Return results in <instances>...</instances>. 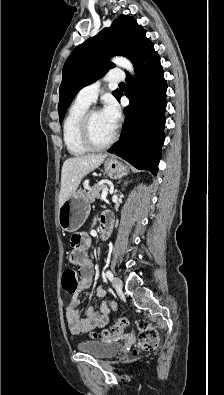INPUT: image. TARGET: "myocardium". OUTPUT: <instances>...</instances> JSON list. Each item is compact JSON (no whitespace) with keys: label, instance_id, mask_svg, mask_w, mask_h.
I'll list each match as a JSON object with an SVG mask.
<instances>
[{"label":"myocardium","instance_id":"myocardium-1","mask_svg":"<svg viewBox=\"0 0 224 395\" xmlns=\"http://www.w3.org/2000/svg\"><path fill=\"white\" fill-rule=\"evenodd\" d=\"M99 110L97 108H89L87 111L84 113L82 116L81 122H80V138L82 143L85 145V147L89 150L92 151H100L108 148L111 146L117 139L118 137V130L115 128L113 135L111 138L106 141L103 144H98L96 143L92 136H91V129H90V122H91V117L95 112H98Z\"/></svg>","mask_w":224,"mask_h":395}]
</instances>
